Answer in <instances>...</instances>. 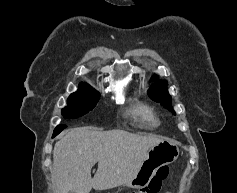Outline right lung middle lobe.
<instances>
[{
	"instance_id": "obj_1",
	"label": "right lung middle lobe",
	"mask_w": 237,
	"mask_h": 193,
	"mask_svg": "<svg viewBox=\"0 0 237 193\" xmlns=\"http://www.w3.org/2000/svg\"><path fill=\"white\" fill-rule=\"evenodd\" d=\"M99 100V93L97 91L78 90L70 94L67 104L61 112L64 118H78L92 110Z\"/></svg>"
}]
</instances>
